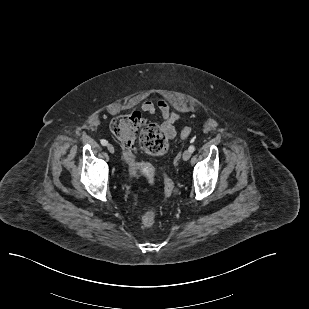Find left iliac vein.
Instances as JSON below:
<instances>
[{
  "label": "left iliac vein",
  "instance_id": "left-iliac-vein-1",
  "mask_svg": "<svg viewBox=\"0 0 309 309\" xmlns=\"http://www.w3.org/2000/svg\"><path fill=\"white\" fill-rule=\"evenodd\" d=\"M190 157H191V152L189 150H186V151L183 152L182 158H183L184 161L189 160Z\"/></svg>",
  "mask_w": 309,
  "mask_h": 309
}]
</instances>
